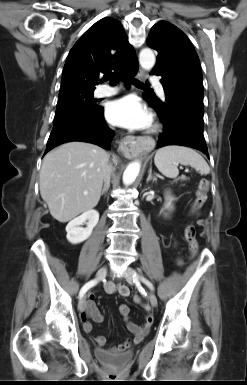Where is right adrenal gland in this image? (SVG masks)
Here are the masks:
<instances>
[{
  "instance_id": "right-adrenal-gland-1",
  "label": "right adrenal gland",
  "mask_w": 247,
  "mask_h": 385,
  "mask_svg": "<svg viewBox=\"0 0 247 385\" xmlns=\"http://www.w3.org/2000/svg\"><path fill=\"white\" fill-rule=\"evenodd\" d=\"M109 187H110V181L104 184L101 195H103L109 189Z\"/></svg>"
}]
</instances>
